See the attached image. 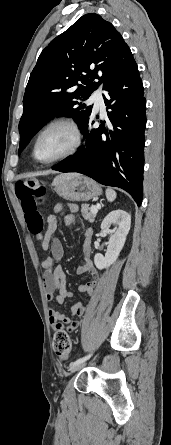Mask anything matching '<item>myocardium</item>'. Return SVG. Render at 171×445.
I'll return each instance as SVG.
<instances>
[{"label":"myocardium","mask_w":171,"mask_h":445,"mask_svg":"<svg viewBox=\"0 0 171 445\" xmlns=\"http://www.w3.org/2000/svg\"><path fill=\"white\" fill-rule=\"evenodd\" d=\"M57 127H64L66 129H68L72 134V142H71L70 146L63 153L56 156L55 158H52L50 160H41L37 156V145L39 143V140L46 132H48L51 129L57 128ZM82 141H83V133H82V130L77 122H75L74 120H72L70 118L54 119V120L50 121L49 123H47L37 134V136L34 140V143H33L32 155H33V158L41 164H45V165L54 164L56 162H59L65 158L73 155L74 153H76L78 151V149L80 148Z\"/></svg>","instance_id":"f54148a6"}]
</instances>
